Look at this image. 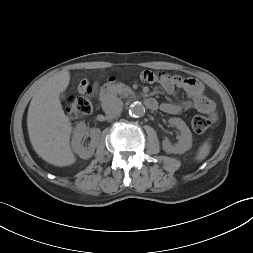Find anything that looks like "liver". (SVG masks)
<instances>
[{"label":"liver","mask_w":253,"mask_h":253,"mask_svg":"<svg viewBox=\"0 0 253 253\" xmlns=\"http://www.w3.org/2000/svg\"><path fill=\"white\" fill-rule=\"evenodd\" d=\"M70 73L60 71L49 77L34 94L27 115L30 142L46 162L63 167L75 163L70 147L72 126L64 114L59 95L69 85Z\"/></svg>","instance_id":"1"}]
</instances>
